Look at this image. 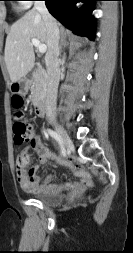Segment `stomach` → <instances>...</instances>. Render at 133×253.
Returning a JSON list of instances; mask_svg holds the SVG:
<instances>
[{
	"label": "stomach",
	"mask_w": 133,
	"mask_h": 253,
	"mask_svg": "<svg viewBox=\"0 0 133 253\" xmlns=\"http://www.w3.org/2000/svg\"><path fill=\"white\" fill-rule=\"evenodd\" d=\"M29 87V82L26 81V79L21 78L19 81L13 83L11 85V90L14 93H25L26 90Z\"/></svg>",
	"instance_id": "1"
}]
</instances>
